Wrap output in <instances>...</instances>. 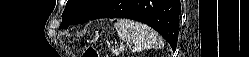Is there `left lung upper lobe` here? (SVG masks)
<instances>
[{
  "label": "left lung upper lobe",
  "mask_w": 249,
  "mask_h": 57,
  "mask_svg": "<svg viewBox=\"0 0 249 57\" xmlns=\"http://www.w3.org/2000/svg\"><path fill=\"white\" fill-rule=\"evenodd\" d=\"M112 0H68L60 28L84 23L102 12Z\"/></svg>",
  "instance_id": "1"
}]
</instances>
